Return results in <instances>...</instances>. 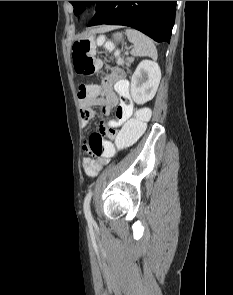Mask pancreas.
<instances>
[{"instance_id":"pancreas-1","label":"pancreas","mask_w":233,"mask_h":295,"mask_svg":"<svg viewBox=\"0 0 233 295\" xmlns=\"http://www.w3.org/2000/svg\"><path fill=\"white\" fill-rule=\"evenodd\" d=\"M133 62V58L130 57V58H127L126 59V66H130V64Z\"/></svg>"}]
</instances>
